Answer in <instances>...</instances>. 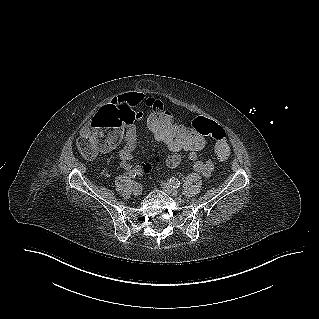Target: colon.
Masks as SVG:
<instances>
[{
	"label": "colon",
	"mask_w": 319,
	"mask_h": 319,
	"mask_svg": "<svg viewBox=\"0 0 319 319\" xmlns=\"http://www.w3.org/2000/svg\"><path fill=\"white\" fill-rule=\"evenodd\" d=\"M146 123L147 129L152 136L170 151L199 153L206 147L207 136H209L215 142V154L218 159L226 160L230 156L226 129L205 116H199L194 119L192 128H188L175 123L169 112L163 108L162 113H149L148 111ZM195 130L202 131L203 135H196ZM77 148L88 159L94 158L98 154V151L90 146L87 136L81 137L77 141ZM159 160L157 157L156 161ZM151 168V164L145 163L142 165L141 171L148 173Z\"/></svg>",
	"instance_id": "obj_1"
}]
</instances>
